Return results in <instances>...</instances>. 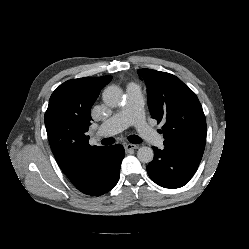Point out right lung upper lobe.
<instances>
[{
  "label": "right lung upper lobe",
  "instance_id": "cb5924a9",
  "mask_svg": "<svg viewBox=\"0 0 249 249\" xmlns=\"http://www.w3.org/2000/svg\"><path fill=\"white\" fill-rule=\"evenodd\" d=\"M111 80V76L68 80L50 97L44 118L49 143L59 167L74 185L80 183L84 169L107 150L91 146L86 132L91 107Z\"/></svg>",
  "mask_w": 249,
  "mask_h": 249
}]
</instances>
